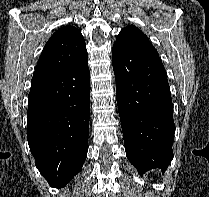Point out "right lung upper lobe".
Instances as JSON below:
<instances>
[{"label": "right lung upper lobe", "mask_w": 209, "mask_h": 197, "mask_svg": "<svg viewBox=\"0 0 209 197\" xmlns=\"http://www.w3.org/2000/svg\"><path fill=\"white\" fill-rule=\"evenodd\" d=\"M86 52V44L81 32L73 26L61 27L47 41L31 83L62 71Z\"/></svg>", "instance_id": "1"}]
</instances>
